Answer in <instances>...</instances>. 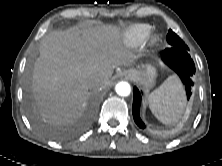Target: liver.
I'll return each mask as SVG.
<instances>
[{
    "instance_id": "obj_1",
    "label": "liver",
    "mask_w": 222,
    "mask_h": 166,
    "mask_svg": "<svg viewBox=\"0 0 222 166\" xmlns=\"http://www.w3.org/2000/svg\"><path fill=\"white\" fill-rule=\"evenodd\" d=\"M121 29L115 25L74 27L46 35L34 65L32 89L42 119L65 125L84 109L95 81L107 86L116 67L136 56L120 46Z\"/></svg>"
}]
</instances>
